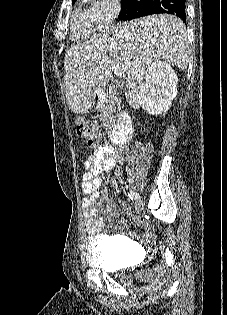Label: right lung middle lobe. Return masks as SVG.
Wrapping results in <instances>:
<instances>
[{
    "label": "right lung middle lobe",
    "mask_w": 227,
    "mask_h": 315,
    "mask_svg": "<svg viewBox=\"0 0 227 315\" xmlns=\"http://www.w3.org/2000/svg\"><path fill=\"white\" fill-rule=\"evenodd\" d=\"M76 0L72 1V5L75 3Z\"/></svg>",
    "instance_id": "1"
}]
</instances>
